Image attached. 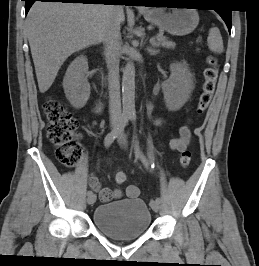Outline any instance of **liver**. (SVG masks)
<instances>
[{
  "label": "liver",
  "instance_id": "obj_1",
  "mask_svg": "<svg viewBox=\"0 0 259 266\" xmlns=\"http://www.w3.org/2000/svg\"><path fill=\"white\" fill-rule=\"evenodd\" d=\"M110 5L35 2L27 15V36L39 91L53 84L73 53L103 41ZM124 22L123 7L119 13Z\"/></svg>",
  "mask_w": 259,
  "mask_h": 266
}]
</instances>
